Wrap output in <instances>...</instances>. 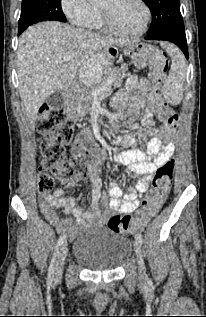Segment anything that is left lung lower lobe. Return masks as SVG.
<instances>
[{
    "instance_id": "obj_1",
    "label": "left lung lower lobe",
    "mask_w": 206,
    "mask_h": 317,
    "mask_svg": "<svg viewBox=\"0 0 206 317\" xmlns=\"http://www.w3.org/2000/svg\"><path fill=\"white\" fill-rule=\"evenodd\" d=\"M147 39V38H145ZM147 40H164L169 41L174 44H176L185 54L186 58L188 59V48H187V42H186V36H164L158 39H147Z\"/></svg>"
}]
</instances>
